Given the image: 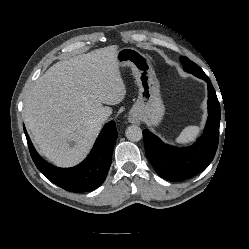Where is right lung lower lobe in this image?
I'll return each instance as SVG.
<instances>
[{"instance_id":"98d812e1","label":"right lung lower lobe","mask_w":249,"mask_h":249,"mask_svg":"<svg viewBox=\"0 0 249 249\" xmlns=\"http://www.w3.org/2000/svg\"><path fill=\"white\" fill-rule=\"evenodd\" d=\"M24 132L35 165L54 184L71 192H87L96 189L105 181L117 139L114 121L105 125L88 157L71 168L55 167L43 160L33 147L25 127Z\"/></svg>"}]
</instances>
